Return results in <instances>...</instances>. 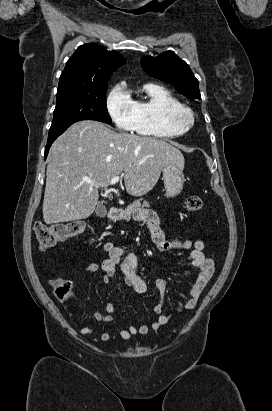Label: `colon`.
<instances>
[{
  "instance_id": "colon-1",
  "label": "colon",
  "mask_w": 272,
  "mask_h": 411,
  "mask_svg": "<svg viewBox=\"0 0 272 411\" xmlns=\"http://www.w3.org/2000/svg\"><path fill=\"white\" fill-rule=\"evenodd\" d=\"M203 206V201L199 196L193 195L187 198L186 208L189 211H199ZM86 225L82 221H72L48 225L38 221L34 225V233L38 245L42 249L53 247L57 242L82 233ZM56 297L64 302H68L73 296L72 283L62 277H56L51 280Z\"/></svg>"
}]
</instances>
